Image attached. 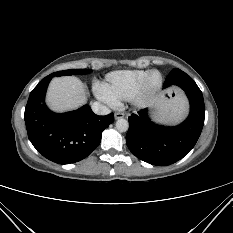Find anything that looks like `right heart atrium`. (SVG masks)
<instances>
[{"mask_svg": "<svg viewBox=\"0 0 233 233\" xmlns=\"http://www.w3.org/2000/svg\"><path fill=\"white\" fill-rule=\"evenodd\" d=\"M96 94L98 96L99 99L110 103V104H114L115 101L112 99V97L107 93V91L105 90V88L102 85H98L96 87Z\"/></svg>", "mask_w": 233, "mask_h": 233, "instance_id": "right-heart-atrium-1", "label": "right heart atrium"}]
</instances>
